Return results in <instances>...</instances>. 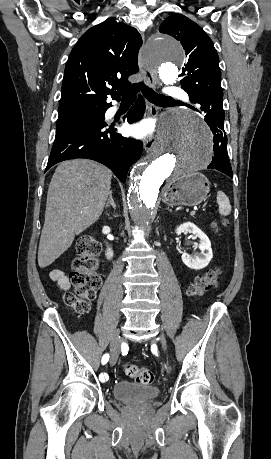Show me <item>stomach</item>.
<instances>
[{"mask_svg":"<svg viewBox=\"0 0 271 459\" xmlns=\"http://www.w3.org/2000/svg\"><path fill=\"white\" fill-rule=\"evenodd\" d=\"M210 192V182L203 174H184L168 180L162 200L169 206H198Z\"/></svg>","mask_w":271,"mask_h":459,"instance_id":"stomach-1","label":"stomach"}]
</instances>
